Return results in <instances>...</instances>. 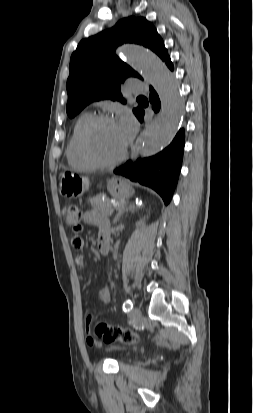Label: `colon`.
Masks as SVG:
<instances>
[{
	"mask_svg": "<svg viewBox=\"0 0 253 413\" xmlns=\"http://www.w3.org/2000/svg\"><path fill=\"white\" fill-rule=\"evenodd\" d=\"M64 222L67 226L75 227L80 220L79 208L70 203H66L62 209ZM95 334L107 343L120 341L125 344H134L139 341V335L130 330L118 326L99 323L95 327Z\"/></svg>",
	"mask_w": 253,
	"mask_h": 413,
	"instance_id": "1",
	"label": "colon"
}]
</instances>
